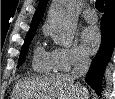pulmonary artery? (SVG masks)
<instances>
[{"label":"pulmonary artery","mask_w":115,"mask_h":99,"mask_svg":"<svg viewBox=\"0 0 115 99\" xmlns=\"http://www.w3.org/2000/svg\"><path fill=\"white\" fill-rule=\"evenodd\" d=\"M84 18L88 22H95L97 21V14L93 9H88L84 12Z\"/></svg>","instance_id":"pulmonary-artery-1"}]
</instances>
